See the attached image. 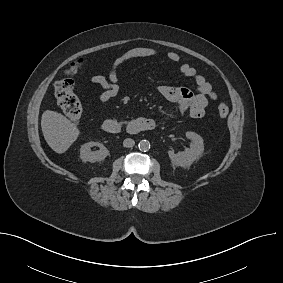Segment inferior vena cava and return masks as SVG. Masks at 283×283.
<instances>
[{"label": "inferior vena cava", "mask_w": 283, "mask_h": 283, "mask_svg": "<svg viewBox=\"0 0 283 283\" xmlns=\"http://www.w3.org/2000/svg\"><path fill=\"white\" fill-rule=\"evenodd\" d=\"M135 145V141L131 138H127L123 141V146L126 148H132Z\"/></svg>", "instance_id": "602c4592"}]
</instances>
